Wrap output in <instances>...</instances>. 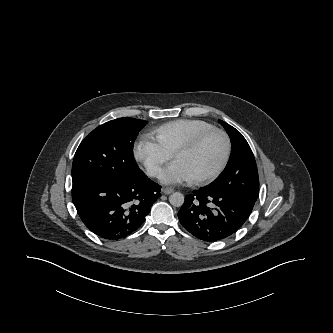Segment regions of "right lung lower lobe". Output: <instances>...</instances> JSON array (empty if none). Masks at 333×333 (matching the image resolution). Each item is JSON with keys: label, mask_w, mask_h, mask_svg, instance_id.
Returning <instances> with one entry per match:
<instances>
[{"label": "right lung lower lobe", "mask_w": 333, "mask_h": 333, "mask_svg": "<svg viewBox=\"0 0 333 333\" xmlns=\"http://www.w3.org/2000/svg\"><path fill=\"white\" fill-rule=\"evenodd\" d=\"M161 186L141 170L127 181L95 178L72 186V200L86 227L106 240L132 234L144 222Z\"/></svg>", "instance_id": "obj_1"}]
</instances>
